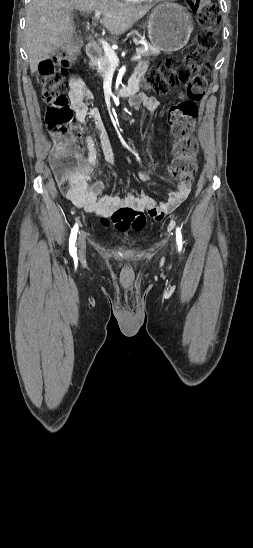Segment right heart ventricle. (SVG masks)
Returning a JSON list of instances; mask_svg holds the SVG:
<instances>
[{"label": "right heart ventricle", "instance_id": "e07e8e85", "mask_svg": "<svg viewBox=\"0 0 253 548\" xmlns=\"http://www.w3.org/2000/svg\"><path fill=\"white\" fill-rule=\"evenodd\" d=\"M123 1H125V2H127V3L137 4V3H141V2L144 1V0H123Z\"/></svg>", "mask_w": 253, "mask_h": 548}]
</instances>
